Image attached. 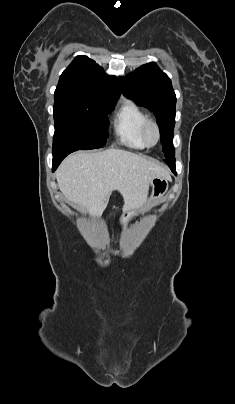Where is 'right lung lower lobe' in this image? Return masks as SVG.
Returning <instances> with one entry per match:
<instances>
[{
  "mask_svg": "<svg viewBox=\"0 0 235 404\" xmlns=\"http://www.w3.org/2000/svg\"><path fill=\"white\" fill-rule=\"evenodd\" d=\"M75 150H59L53 152V168L52 171L54 172L61 161L70 153L74 152Z\"/></svg>",
  "mask_w": 235,
  "mask_h": 404,
  "instance_id": "right-lung-lower-lobe-1",
  "label": "right lung lower lobe"
}]
</instances>
